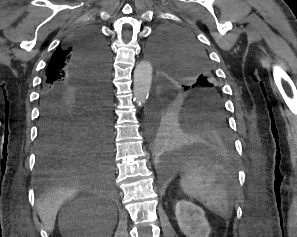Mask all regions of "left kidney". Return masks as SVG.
Masks as SVG:
<instances>
[{
    "label": "left kidney",
    "instance_id": "5707ae66",
    "mask_svg": "<svg viewBox=\"0 0 297 237\" xmlns=\"http://www.w3.org/2000/svg\"><path fill=\"white\" fill-rule=\"evenodd\" d=\"M175 216L181 232L186 237H209L211 228L201 207L181 200L176 204Z\"/></svg>",
    "mask_w": 297,
    "mask_h": 237
}]
</instances>
